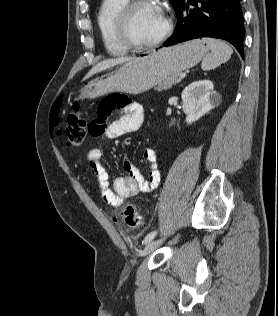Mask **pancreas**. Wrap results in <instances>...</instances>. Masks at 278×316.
Segmentation results:
<instances>
[{
  "label": "pancreas",
  "instance_id": "obj_1",
  "mask_svg": "<svg viewBox=\"0 0 278 316\" xmlns=\"http://www.w3.org/2000/svg\"><path fill=\"white\" fill-rule=\"evenodd\" d=\"M181 82L180 74H174L167 79H165L162 83L158 85L156 88L157 91L170 89L173 85H176Z\"/></svg>",
  "mask_w": 278,
  "mask_h": 316
}]
</instances>
